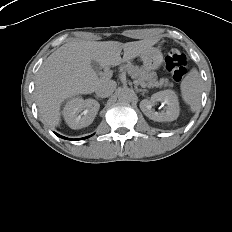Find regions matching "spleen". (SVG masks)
I'll list each match as a JSON object with an SVG mask.
<instances>
[{"mask_svg": "<svg viewBox=\"0 0 232 232\" xmlns=\"http://www.w3.org/2000/svg\"><path fill=\"white\" fill-rule=\"evenodd\" d=\"M202 85L203 81L196 68H192L180 84L182 99L193 112L200 108Z\"/></svg>", "mask_w": 232, "mask_h": 232, "instance_id": "obj_1", "label": "spleen"}]
</instances>
